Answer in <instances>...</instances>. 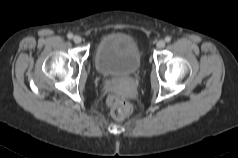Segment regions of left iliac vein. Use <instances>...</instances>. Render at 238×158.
Here are the masks:
<instances>
[{
  "label": "left iliac vein",
  "instance_id": "1",
  "mask_svg": "<svg viewBox=\"0 0 238 158\" xmlns=\"http://www.w3.org/2000/svg\"><path fill=\"white\" fill-rule=\"evenodd\" d=\"M165 41L164 40H159L158 42H157V47L159 48V49H162V48H164L165 47Z\"/></svg>",
  "mask_w": 238,
  "mask_h": 158
}]
</instances>
